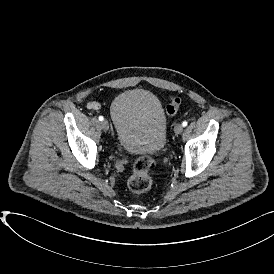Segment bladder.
<instances>
[{"mask_svg": "<svg viewBox=\"0 0 274 274\" xmlns=\"http://www.w3.org/2000/svg\"><path fill=\"white\" fill-rule=\"evenodd\" d=\"M117 143L129 154L159 153L166 142L167 120L152 92L131 89L120 93L111 106Z\"/></svg>", "mask_w": 274, "mask_h": 274, "instance_id": "31cf9c89", "label": "bladder"}]
</instances>
